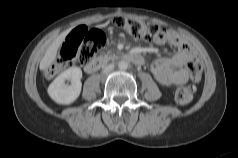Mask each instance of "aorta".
<instances>
[{"label":"aorta","mask_w":238,"mask_h":158,"mask_svg":"<svg viewBox=\"0 0 238 158\" xmlns=\"http://www.w3.org/2000/svg\"><path fill=\"white\" fill-rule=\"evenodd\" d=\"M128 62H126V61H120L119 63H118V68L120 69V70H126L127 68H128Z\"/></svg>","instance_id":"obj_1"}]
</instances>
